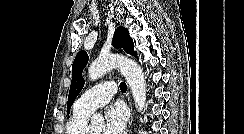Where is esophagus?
<instances>
[{"label": "esophagus", "mask_w": 244, "mask_h": 134, "mask_svg": "<svg viewBox=\"0 0 244 134\" xmlns=\"http://www.w3.org/2000/svg\"><path fill=\"white\" fill-rule=\"evenodd\" d=\"M126 96H127L128 105H129V108H130V111H131V119H130V122H129V125H128V131H129V129L131 127V124H132V120H133V110H132V105H131V101H130L129 92H127Z\"/></svg>", "instance_id": "esophagus-1"}]
</instances>
